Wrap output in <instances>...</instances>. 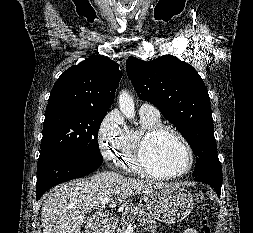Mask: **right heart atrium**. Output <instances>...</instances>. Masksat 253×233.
Returning <instances> with one entry per match:
<instances>
[{
	"mask_svg": "<svg viewBox=\"0 0 253 233\" xmlns=\"http://www.w3.org/2000/svg\"><path fill=\"white\" fill-rule=\"evenodd\" d=\"M127 128L117 110L108 112L97 131V144L102 157L115 161L122 147Z\"/></svg>",
	"mask_w": 253,
	"mask_h": 233,
	"instance_id": "right-heart-atrium-1",
	"label": "right heart atrium"
}]
</instances>
